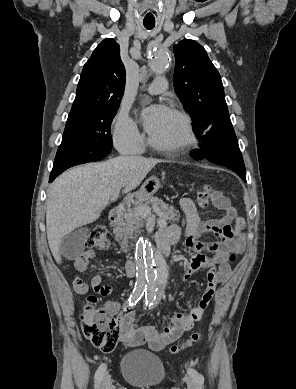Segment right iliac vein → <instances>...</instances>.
<instances>
[{
	"instance_id": "1",
	"label": "right iliac vein",
	"mask_w": 296,
	"mask_h": 389,
	"mask_svg": "<svg viewBox=\"0 0 296 389\" xmlns=\"http://www.w3.org/2000/svg\"><path fill=\"white\" fill-rule=\"evenodd\" d=\"M111 381V375L106 374L102 381L101 389H110Z\"/></svg>"
}]
</instances>
